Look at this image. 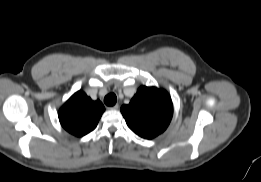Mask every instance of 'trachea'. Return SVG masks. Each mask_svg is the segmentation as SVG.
<instances>
[{
    "instance_id": "trachea-1",
    "label": "trachea",
    "mask_w": 261,
    "mask_h": 182,
    "mask_svg": "<svg viewBox=\"0 0 261 182\" xmlns=\"http://www.w3.org/2000/svg\"><path fill=\"white\" fill-rule=\"evenodd\" d=\"M117 101V97L114 93H110L108 94L105 98H104V102L107 106H113L115 105Z\"/></svg>"
}]
</instances>
